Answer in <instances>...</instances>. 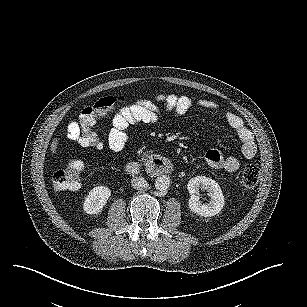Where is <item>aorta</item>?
Masks as SVG:
<instances>
[{
	"label": "aorta",
	"instance_id": "aorta-1",
	"mask_svg": "<svg viewBox=\"0 0 307 307\" xmlns=\"http://www.w3.org/2000/svg\"><path fill=\"white\" fill-rule=\"evenodd\" d=\"M172 180L169 175H160L155 179V187L160 191H166L171 187Z\"/></svg>",
	"mask_w": 307,
	"mask_h": 307
}]
</instances>
